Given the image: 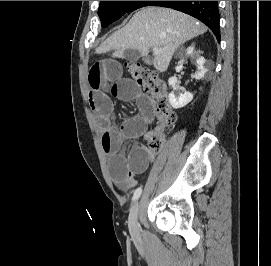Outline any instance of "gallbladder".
Listing matches in <instances>:
<instances>
[{
  "label": "gallbladder",
  "instance_id": "bac80fb5",
  "mask_svg": "<svg viewBox=\"0 0 271 266\" xmlns=\"http://www.w3.org/2000/svg\"><path fill=\"white\" fill-rule=\"evenodd\" d=\"M135 53H136V51L127 49L124 51V58L127 60H135V59H137V56H133ZM143 61H144V63H146L148 65L151 64V60L149 57H145L143 59Z\"/></svg>",
  "mask_w": 271,
  "mask_h": 266
}]
</instances>
